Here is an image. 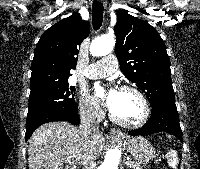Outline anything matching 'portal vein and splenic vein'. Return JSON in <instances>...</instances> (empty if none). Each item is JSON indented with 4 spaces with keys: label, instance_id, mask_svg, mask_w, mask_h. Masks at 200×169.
Masks as SVG:
<instances>
[{
    "label": "portal vein and splenic vein",
    "instance_id": "18ae733b",
    "mask_svg": "<svg viewBox=\"0 0 200 169\" xmlns=\"http://www.w3.org/2000/svg\"><path fill=\"white\" fill-rule=\"evenodd\" d=\"M69 163H74V162H72V161H69ZM127 164H129L130 163V161L129 160H127V162H126Z\"/></svg>",
    "mask_w": 200,
    "mask_h": 169
}]
</instances>
